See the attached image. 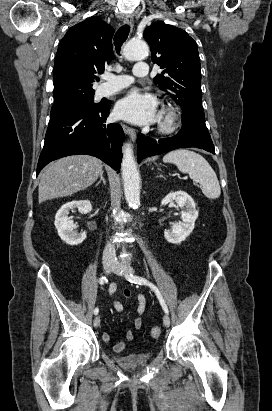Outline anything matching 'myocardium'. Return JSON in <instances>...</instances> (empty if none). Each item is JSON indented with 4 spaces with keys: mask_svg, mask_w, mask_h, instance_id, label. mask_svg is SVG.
Returning a JSON list of instances; mask_svg holds the SVG:
<instances>
[{
    "mask_svg": "<svg viewBox=\"0 0 272 411\" xmlns=\"http://www.w3.org/2000/svg\"><path fill=\"white\" fill-rule=\"evenodd\" d=\"M180 114L172 107L164 109L160 116L159 131L163 134L173 133L179 126Z\"/></svg>",
    "mask_w": 272,
    "mask_h": 411,
    "instance_id": "1",
    "label": "myocardium"
}]
</instances>
